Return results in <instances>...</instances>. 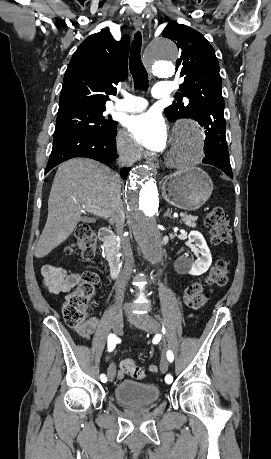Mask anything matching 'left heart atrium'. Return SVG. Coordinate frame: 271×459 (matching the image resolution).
<instances>
[{
    "mask_svg": "<svg viewBox=\"0 0 271 459\" xmlns=\"http://www.w3.org/2000/svg\"><path fill=\"white\" fill-rule=\"evenodd\" d=\"M128 131L136 144L154 151L165 148L169 138L165 120L155 112H146L130 118Z\"/></svg>",
    "mask_w": 271,
    "mask_h": 459,
    "instance_id": "39dd6f15",
    "label": "left heart atrium"
}]
</instances>
